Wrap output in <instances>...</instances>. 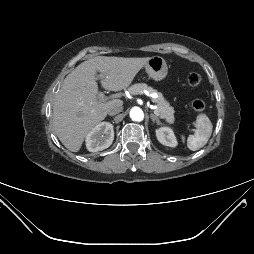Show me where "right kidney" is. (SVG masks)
<instances>
[{
  "label": "right kidney",
  "instance_id": "obj_1",
  "mask_svg": "<svg viewBox=\"0 0 254 254\" xmlns=\"http://www.w3.org/2000/svg\"><path fill=\"white\" fill-rule=\"evenodd\" d=\"M114 140L113 125L109 122L97 124L86 136V147L90 152L108 148Z\"/></svg>",
  "mask_w": 254,
  "mask_h": 254
}]
</instances>
